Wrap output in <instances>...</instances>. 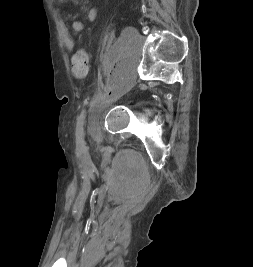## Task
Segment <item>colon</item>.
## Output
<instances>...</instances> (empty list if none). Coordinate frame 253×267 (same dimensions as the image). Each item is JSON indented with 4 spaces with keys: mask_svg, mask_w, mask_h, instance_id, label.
<instances>
[{
    "mask_svg": "<svg viewBox=\"0 0 253 267\" xmlns=\"http://www.w3.org/2000/svg\"><path fill=\"white\" fill-rule=\"evenodd\" d=\"M72 73L76 78H84L88 73V55L84 49H79L71 59Z\"/></svg>",
    "mask_w": 253,
    "mask_h": 267,
    "instance_id": "5ec220e1",
    "label": "colon"
}]
</instances>
